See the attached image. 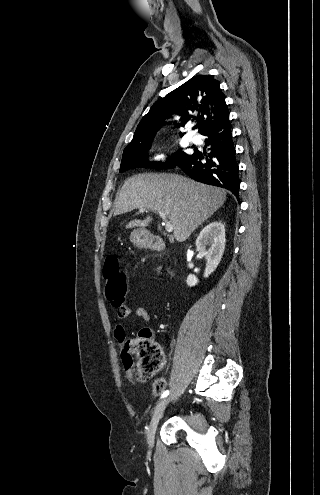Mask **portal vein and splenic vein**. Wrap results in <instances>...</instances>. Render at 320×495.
<instances>
[{
    "mask_svg": "<svg viewBox=\"0 0 320 495\" xmlns=\"http://www.w3.org/2000/svg\"><path fill=\"white\" fill-rule=\"evenodd\" d=\"M141 212L146 211V208H141ZM160 217L163 219V225L165 226V229L167 232H172L173 231V225L171 222L167 219L166 215L163 212H159Z\"/></svg>",
    "mask_w": 320,
    "mask_h": 495,
    "instance_id": "portal-vein-and-splenic-vein-1",
    "label": "portal vein and splenic vein"
}]
</instances>
